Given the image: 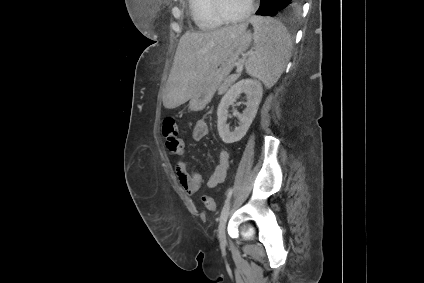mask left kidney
Segmentation results:
<instances>
[{
	"label": "left kidney",
	"instance_id": "left-kidney-1",
	"mask_svg": "<svg viewBox=\"0 0 424 283\" xmlns=\"http://www.w3.org/2000/svg\"><path fill=\"white\" fill-rule=\"evenodd\" d=\"M242 93L246 94V109L242 114H239L236 110H234L233 115L238 117L240 125L231 132L229 130V126L226 124L228 118V108ZM262 95L263 88L261 83L252 79H242L238 81L224 95L217 109L218 132L224 143L237 142L246 135L252 121L257 114Z\"/></svg>",
	"mask_w": 424,
	"mask_h": 283
}]
</instances>
